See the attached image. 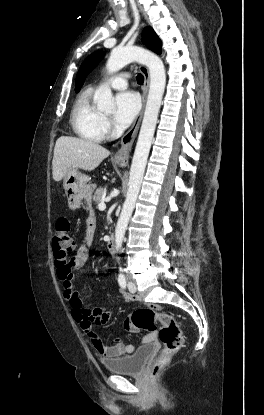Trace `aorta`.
Instances as JSON below:
<instances>
[{"label": "aorta", "instance_id": "762f6f07", "mask_svg": "<svg viewBox=\"0 0 264 415\" xmlns=\"http://www.w3.org/2000/svg\"><path fill=\"white\" fill-rule=\"evenodd\" d=\"M137 61L149 69L150 87L145 113L138 136L128 182V191L115 228V248H122L125 231L131 218L140 192L145 167L157 124L158 114L166 84L165 68L161 59L154 53L137 46L114 48L106 64L108 73H115L127 64ZM94 100L101 111L111 112L115 104L111 89L102 88L95 93Z\"/></svg>", "mask_w": 264, "mask_h": 415}]
</instances>
